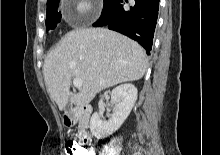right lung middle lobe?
Returning <instances> with one entry per match:
<instances>
[{
  "instance_id": "1",
  "label": "right lung middle lobe",
  "mask_w": 220,
  "mask_h": 155,
  "mask_svg": "<svg viewBox=\"0 0 220 155\" xmlns=\"http://www.w3.org/2000/svg\"><path fill=\"white\" fill-rule=\"evenodd\" d=\"M60 0H54L47 4L46 30L54 29L57 23L61 20V13L57 11ZM113 0H104V8L107 7ZM103 8V9H104Z\"/></svg>"
}]
</instances>
